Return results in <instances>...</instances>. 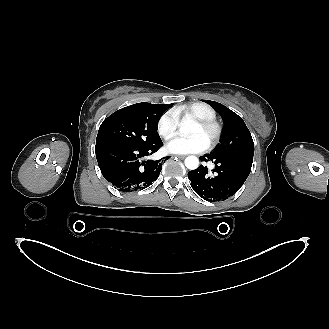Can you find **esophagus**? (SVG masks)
<instances>
[{
	"label": "esophagus",
	"mask_w": 329,
	"mask_h": 329,
	"mask_svg": "<svg viewBox=\"0 0 329 329\" xmlns=\"http://www.w3.org/2000/svg\"><path fill=\"white\" fill-rule=\"evenodd\" d=\"M176 157L181 158V159H184L185 158V155H176Z\"/></svg>",
	"instance_id": "34e87169"
}]
</instances>
